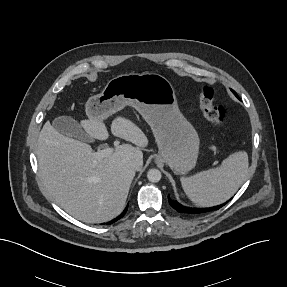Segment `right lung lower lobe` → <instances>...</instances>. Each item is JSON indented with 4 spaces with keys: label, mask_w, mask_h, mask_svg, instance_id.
<instances>
[{
    "label": "right lung lower lobe",
    "mask_w": 287,
    "mask_h": 287,
    "mask_svg": "<svg viewBox=\"0 0 287 287\" xmlns=\"http://www.w3.org/2000/svg\"><path fill=\"white\" fill-rule=\"evenodd\" d=\"M126 211H127V208L117 218H115L112 221L108 222V224H112V223L116 222L117 220H119L120 218H122L125 215Z\"/></svg>",
    "instance_id": "right-lung-lower-lobe-1"
}]
</instances>
